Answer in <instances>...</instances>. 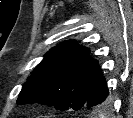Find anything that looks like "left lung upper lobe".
<instances>
[{
  "mask_svg": "<svg viewBox=\"0 0 133 118\" xmlns=\"http://www.w3.org/2000/svg\"><path fill=\"white\" fill-rule=\"evenodd\" d=\"M102 76L87 48L65 41L52 48L27 78L18 104L40 103L65 111L85 108L87 99Z\"/></svg>",
  "mask_w": 133,
  "mask_h": 118,
  "instance_id": "1",
  "label": "left lung upper lobe"
}]
</instances>
